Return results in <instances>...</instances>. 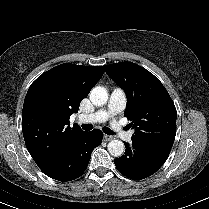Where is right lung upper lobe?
I'll return each instance as SVG.
<instances>
[{
  "label": "right lung upper lobe",
  "instance_id": "right-lung-upper-lobe-1",
  "mask_svg": "<svg viewBox=\"0 0 209 209\" xmlns=\"http://www.w3.org/2000/svg\"><path fill=\"white\" fill-rule=\"evenodd\" d=\"M103 73V66L66 63L45 72L29 87L22 110V131L26 147L41 170L83 132L76 125L70 127L69 118Z\"/></svg>",
  "mask_w": 209,
  "mask_h": 209
}]
</instances>
